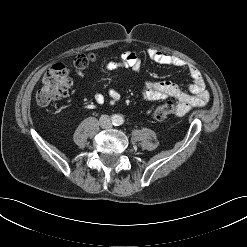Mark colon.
Returning a JSON list of instances; mask_svg holds the SVG:
<instances>
[{
    "instance_id": "colon-1",
    "label": "colon",
    "mask_w": 247,
    "mask_h": 247,
    "mask_svg": "<svg viewBox=\"0 0 247 247\" xmlns=\"http://www.w3.org/2000/svg\"><path fill=\"white\" fill-rule=\"evenodd\" d=\"M94 54H83L75 58L74 64L78 69H86L95 61ZM72 85L69 77V69L64 64H58L50 68L44 75L41 86L36 94V102L40 106H48L52 102L67 96ZM178 106L175 101L168 100L156 107L153 117L157 121H163L177 113Z\"/></svg>"
}]
</instances>
